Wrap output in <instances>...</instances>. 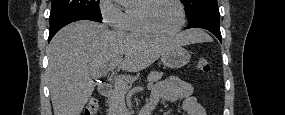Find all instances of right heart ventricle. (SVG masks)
<instances>
[{
  "label": "right heart ventricle",
  "instance_id": "1",
  "mask_svg": "<svg viewBox=\"0 0 285 115\" xmlns=\"http://www.w3.org/2000/svg\"><path fill=\"white\" fill-rule=\"evenodd\" d=\"M144 2V1H143ZM123 30L134 36L149 37V34L140 20V5L128 6L124 12Z\"/></svg>",
  "mask_w": 285,
  "mask_h": 115
}]
</instances>
